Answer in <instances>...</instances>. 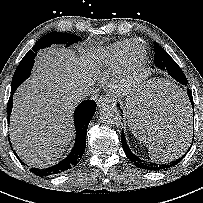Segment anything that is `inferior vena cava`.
<instances>
[{
	"label": "inferior vena cava",
	"mask_w": 203,
	"mask_h": 203,
	"mask_svg": "<svg viewBox=\"0 0 203 203\" xmlns=\"http://www.w3.org/2000/svg\"><path fill=\"white\" fill-rule=\"evenodd\" d=\"M92 89L88 86H84L78 88L74 93V99L80 102L83 99H86L89 95H91Z\"/></svg>",
	"instance_id": "obj_1"
}]
</instances>
